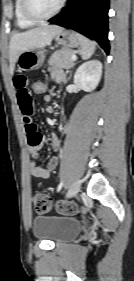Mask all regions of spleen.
I'll return each mask as SVG.
<instances>
[{
    "instance_id": "1",
    "label": "spleen",
    "mask_w": 134,
    "mask_h": 281,
    "mask_svg": "<svg viewBox=\"0 0 134 281\" xmlns=\"http://www.w3.org/2000/svg\"><path fill=\"white\" fill-rule=\"evenodd\" d=\"M80 46H81V57L84 60L89 59L93 55L96 49V43L82 35H80Z\"/></svg>"
}]
</instances>
